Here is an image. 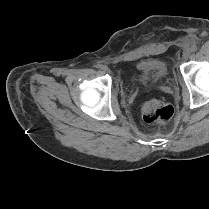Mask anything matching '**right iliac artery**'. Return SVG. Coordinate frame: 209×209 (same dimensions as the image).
<instances>
[{
	"instance_id": "obj_1",
	"label": "right iliac artery",
	"mask_w": 209,
	"mask_h": 209,
	"mask_svg": "<svg viewBox=\"0 0 209 209\" xmlns=\"http://www.w3.org/2000/svg\"><path fill=\"white\" fill-rule=\"evenodd\" d=\"M96 67H97V68H101V69L103 68V66H102V65H97Z\"/></svg>"
}]
</instances>
